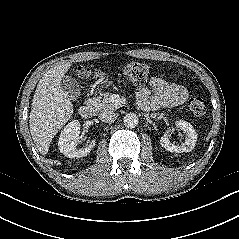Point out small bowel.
Masks as SVG:
<instances>
[{
	"mask_svg": "<svg viewBox=\"0 0 239 239\" xmlns=\"http://www.w3.org/2000/svg\"><path fill=\"white\" fill-rule=\"evenodd\" d=\"M188 96L185 87L165 81L155 76L151 79L150 89L140 87L137 90V97L142 108L157 110L162 107H169L181 104Z\"/></svg>",
	"mask_w": 239,
	"mask_h": 239,
	"instance_id": "c3829d8e",
	"label": "small bowel"
}]
</instances>
